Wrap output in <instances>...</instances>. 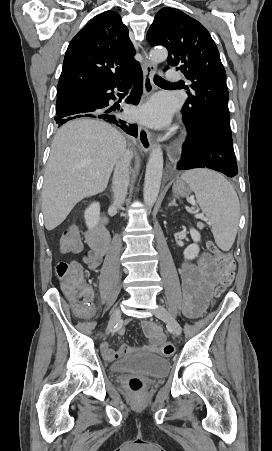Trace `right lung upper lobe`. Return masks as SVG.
Instances as JSON below:
<instances>
[{"mask_svg":"<svg viewBox=\"0 0 272 451\" xmlns=\"http://www.w3.org/2000/svg\"><path fill=\"white\" fill-rule=\"evenodd\" d=\"M135 53L128 29L117 12L106 11L96 16L67 48L57 97L114 84L139 64L134 59Z\"/></svg>","mask_w":272,"mask_h":451,"instance_id":"cb5924a9","label":"right lung upper lobe"}]
</instances>
